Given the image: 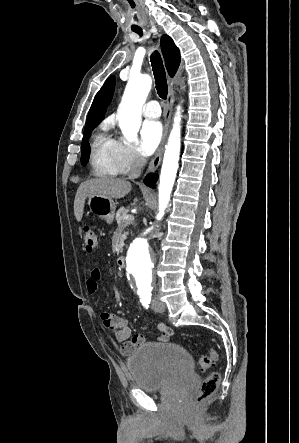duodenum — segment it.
Listing matches in <instances>:
<instances>
[{
  "instance_id": "duodenum-1",
  "label": "duodenum",
  "mask_w": 299,
  "mask_h": 443,
  "mask_svg": "<svg viewBox=\"0 0 299 443\" xmlns=\"http://www.w3.org/2000/svg\"><path fill=\"white\" fill-rule=\"evenodd\" d=\"M116 264H117V267H119V268H123V267L125 266V259H124V257L119 256V257L116 259Z\"/></svg>"
}]
</instances>
